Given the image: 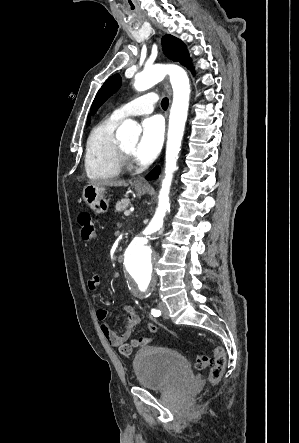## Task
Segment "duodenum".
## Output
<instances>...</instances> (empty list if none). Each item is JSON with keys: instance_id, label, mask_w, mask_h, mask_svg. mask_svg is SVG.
<instances>
[{"instance_id": "obj_1", "label": "duodenum", "mask_w": 299, "mask_h": 443, "mask_svg": "<svg viewBox=\"0 0 299 443\" xmlns=\"http://www.w3.org/2000/svg\"><path fill=\"white\" fill-rule=\"evenodd\" d=\"M121 259H122V256H118V257H117V261H118V262H121Z\"/></svg>"}]
</instances>
